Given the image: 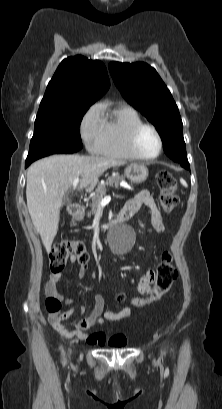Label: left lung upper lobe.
Masks as SVG:
<instances>
[{"instance_id": "1", "label": "left lung upper lobe", "mask_w": 222, "mask_h": 409, "mask_svg": "<svg viewBox=\"0 0 222 409\" xmlns=\"http://www.w3.org/2000/svg\"><path fill=\"white\" fill-rule=\"evenodd\" d=\"M109 70L123 97L157 129L168 157L188 163L183 124L173 97L154 68L144 62H111Z\"/></svg>"}]
</instances>
